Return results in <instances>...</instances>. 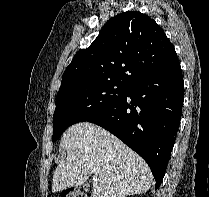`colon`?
I'll use <instances>...</instances> for the list:
<instances>
[{"mask_svg":"<svg viewBox=\"0 0 209 197\" xmlns=\"http://www.w3.org/2000/svg\"><path fill=\"white\" fill-rule=\"evenodd\" d=\"M61 197H87V196L79 191L74 190L63 193Z\"/></svg>","mask_w":209,"mask_h":197,"instance_id":"obj_1","label":"colon"}]
</instances>
